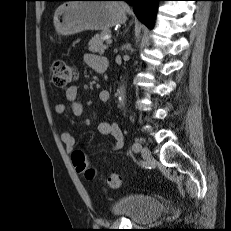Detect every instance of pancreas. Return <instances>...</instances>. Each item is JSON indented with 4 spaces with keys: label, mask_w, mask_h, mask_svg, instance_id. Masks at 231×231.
I'll return each instance as SVG.
<instances>
[{
    "label": "pancreas",
    "mask_w": 231,
    "mask_h": 231,
    "mask_svg": "<svg viewBox=\"0 0 231 231\" xmlns=\"http://www.w3.org/2000/svg\"><path fill=\"white\" fill-rule=\"evenodd\" d=\"M109 31H103L100 34H96L88 43V50L93 53L104 54L108 45L104 44L103 37L109 35Z\"/></svg>",
    "instance_id": "cf45deb5"
}]
</instances>
